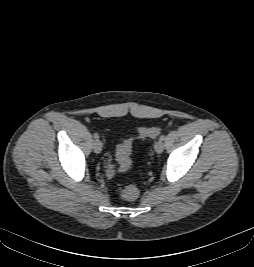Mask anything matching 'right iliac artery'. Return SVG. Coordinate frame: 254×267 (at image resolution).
<instances>
[{
	"instance_id": "1",
	"label": "right iliac artery",
	"mask_w": 254,
	"mask_h": 267,
	"mask_svg": "<svg viewBox=\"0 0 254 267\" xmlns=\"http://www.w3.org/2000/svg\"><path fill=\"white\" fill-rule=\"evenodd\" d=\"M94 138L97 140L99 138V135L97 133H94Z\"/></svg>"
}]
</instances>
